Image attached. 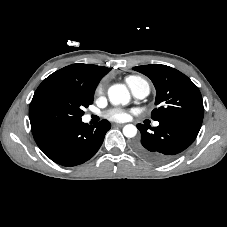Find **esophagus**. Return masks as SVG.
<instances>
[{"mask_svg": "<svg viewBox=\"0 0 227 227\" xmlns=\"http://www.w3.org/2000/svg\"><path fill=\"white\" fill-rule=\"evenodd\" d=\"M115 126H117V127H122L123 124H115Z\"/></svg>", "mask_w": 227, "mask_h": 227, "instance_id": "obj_1", "label": "esophagus"}]
</instances>
